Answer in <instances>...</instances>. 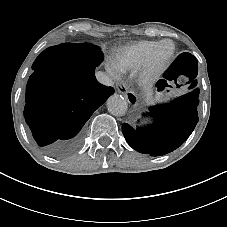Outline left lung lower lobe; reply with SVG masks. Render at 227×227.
Returning <instances> with one entry per match:
<instances>
[{"label": "left lung lower lobe", "instance_id": "1", "mask_svg": "<svg viewBox=\"0 0 227 227\" xmlns=\"http://www.w3.org/2000/svg\"><path fill=\"white\" fill-rule=\"evenodd\" d=\"M190 81L195 75L188 74ZM195 82L191 85L194 86ZM199 89L179 97L174 102L150 107L148 113L154 124L142 128L122 125V132L128 144L136 151L151 156H162L178 148L193 132L197 122Z\"/></svg>", "mask_w": 227, "mask_h": 227}]
</instances>
